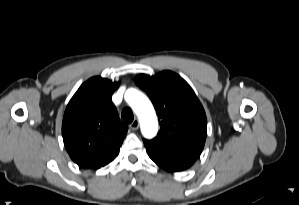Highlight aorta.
I'll return each mask as SVG.
<instances>
[{
  "label": "aorta",
  "instance_id": "aorta-1",
  "mask_svg": "<svg viewBox=\"0 0 299 205\" xmlns=\"http://www.w3.org/2000/svg\"><path fill=\"white\" fill-rule=\"evenodd\" d=\"M126 99L140 120L143 136L153 138L158 131V120L150 100L135 89L126 92Z\"/></svg>",
  "mask_w": 299,
  "mask_h": 205
}]
</instances>
